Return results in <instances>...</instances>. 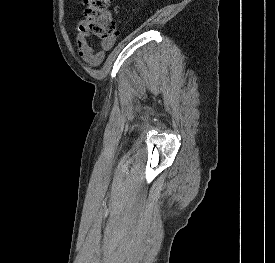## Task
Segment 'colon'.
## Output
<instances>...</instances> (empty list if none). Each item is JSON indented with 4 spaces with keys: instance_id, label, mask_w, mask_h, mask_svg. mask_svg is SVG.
<instances>
[{
    "instance_id": "1",
    "label": "colon",
    "mask_w": 275,
    "mask_h": 263,
    "mask_svg": "<svg viewBox=\"0 0 275 263\" xmlns=\"http://www.w3.org/2000/svg\"><path fill=\"white\" fill-rule=\"evenodd\" d=\"M112 0H83V24L88 33L108 42L118 36L115 21L109 16L108 8Z\"/></svg>"
}]
</instances>
